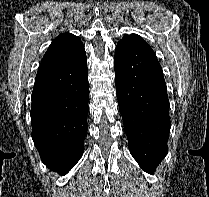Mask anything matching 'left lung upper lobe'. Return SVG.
<instances>
[{
  "mask_svg": "<svg viewBox=\"0 0 209 197\" xmlns=\"http://www.w3.org/2000/svg\"><path fill=\"white\" fill-rule=\"evenodd\" d=\"M121 41H137V42H140L146 46H149L143 38H141L140 36H138L136 34L127 35L124 38H122Z\"/></svg>",
  "mask_w": 209,
  "mask_h": 197,
  "instance_id": "obj_1",
  "label": "left lung upper lobe"
}]
</instances>
